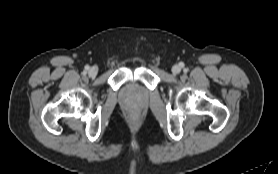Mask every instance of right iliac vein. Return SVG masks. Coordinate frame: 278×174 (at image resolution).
Returning <instances> with one entry per match:
<instances>
[{
    "label": "right iliac vein",
    "instance_id": "obj_1",
    "mask_svg": "<svg viewBox=\"0 0 278 174\" xmlns=\"http://www.w3.org/2000/svg\"><path fill=\"white\" fill-rule=\"evenodd\" d=\"M98 73L97 67H91L88 71L90 77H95Z\"/></svg>",
    "mask_w": 278,
    "mask_h": 174
}]
</instances>
